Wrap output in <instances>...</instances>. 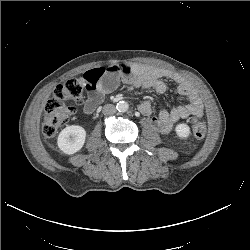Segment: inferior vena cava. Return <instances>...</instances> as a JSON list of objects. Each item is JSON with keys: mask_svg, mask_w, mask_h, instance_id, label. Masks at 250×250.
<instances>
[{"mask_svg": "<svg viewBox=\"0 0 250 250\" xmlns=\"http://www.w3.org/2000/svg\"><path fill=\"white\" fill-rule=\"evenodd\" d=\"M103 113H104V115H113L116 113V108L112 104H106L103 107Z\"/></svg>", "mask_w": 250, "mask_h": 250, "instance_id": "inferior-vena-cava-1", "label": "inferior vena cava"}]
</instances>
